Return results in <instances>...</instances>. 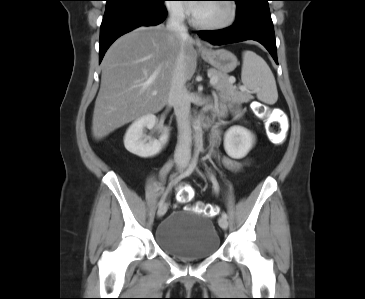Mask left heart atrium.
<instances>
[{"mask_svg": "<svg viewBox=\"0 0 365 299\" xmlns=\"http://www.w3.org/2000/svg\"><path fill=\"white\" fill-rule=\"evenodd\" d=\"M198 6H199L198 4H192V6H191L192 12H195L197 10Z\"/></svg>", "mask_w": 365, "mask_h": 299, "instance_id": "39dd6f15", "label": "left heart atrium"}]
</instances>
